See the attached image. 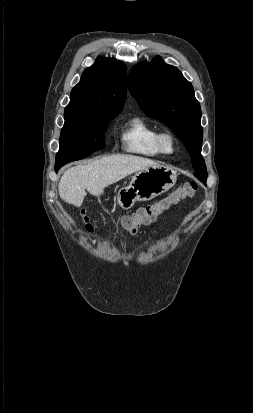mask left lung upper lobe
Returning <instances> with one entry per match:
<instances>
[{
    "label": "left lung upper lobe",
    "mask_w": 253,
    "mask_h": 413,
    "mask_svg": "<svg viewBox=\"0 0 253 413\" xmlns=\"http://www.w3.org/2000/svg\"><path fill=\"white\" fill-rule=\"evenodd\" d=\"M128 87L145 114L165 123L179 137L190 154L194 176L206 184L201 109L192 84L176 67L156 56L150 63L141 62L132 68Z\"/></svg>",
    "instance_id": "1"
}]
</instances>
